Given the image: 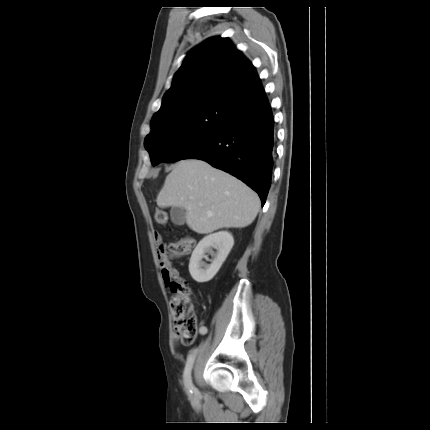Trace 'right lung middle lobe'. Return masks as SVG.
<instances>
[{
    "label": "right lung middle lobe",
    "instance_id": "dd1d6c3e",
    "mask_svg": "<svg viewBox=\"0 0 430 430\" xmlns=\"http://www.w3.org/2000/svg\"><path fill=\"white\" fill-rule=\"evenodd\" d=\"M221 102H205L151 124L145 139L151 163L175 162L217 135L229 118Z\"/></svg>",
    "mask_w": 430,
    "mask_h": 430
}]
</instances>
